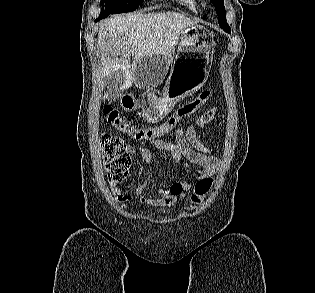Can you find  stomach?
I'll return each mask as SVG.
<instances>
[{"instance_id":"obj_1","label":"stomach","mask_w":315,"mask_h":293,"mask_svg":"<svg viewBox=\"0 0 315 293\" xmlns=\"http://www.w3.org/2000/svg\"><path fill=\"white\" fill-rule=\"evenodd\" d=\"M215 48L214 35L195 24L180 34L171 59V70L162 93L134 96L124 92L121 106L132 111L141 103L142 115L148 122L161 121L181 99L199 90L207 81Z\"/></svg>"}]
</instances>
